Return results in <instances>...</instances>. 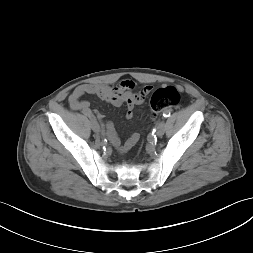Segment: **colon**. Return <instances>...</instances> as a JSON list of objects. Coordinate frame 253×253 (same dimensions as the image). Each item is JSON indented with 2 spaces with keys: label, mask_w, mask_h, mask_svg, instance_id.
Instances as JSON below:
<instances>
[{
  "label": "colon",
  "mask_w": 253,
  "mask_h": 253,
  "mask_svg": "<svg viewBox=\"0 0 253 253\" xmlns=\"http://www.w3.org/2000/svg\"><path fill=\"white\" fill-rule=\"evenodd\" d=\"M180 92L176 87L158 88L151 96L150 107L153 116L179 104Z\"/></svg>",
  "instance_id": "obj_1"
}]
</instances>
